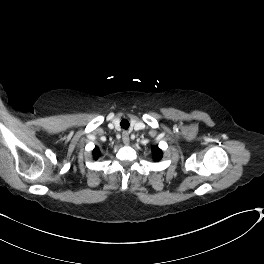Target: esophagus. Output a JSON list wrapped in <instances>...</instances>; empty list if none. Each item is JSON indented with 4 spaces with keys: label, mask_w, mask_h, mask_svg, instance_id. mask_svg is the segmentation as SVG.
<instances>
[{
    "label": "esophagus",
    "mask_w": 264,
    "mask_h": 264,
    "mask_svg": "<svg viewBox=\"0 0 264 264\" xmlns=\"http://www.w3.org/2000/svg\"><path fill=\"white\" fill-rule=\"evenodd\" d=\"M122 141L125 145H129L130 143V138H129V133L127 131L122 132Z\"/></svg>",
    "instance_id": "obj_1"
}]
</instances>
